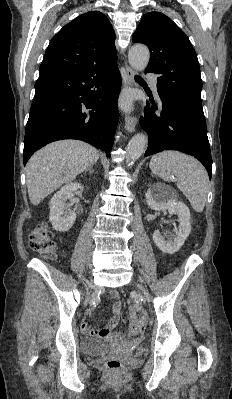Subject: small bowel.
<instances>
[{"instance_id": "small-bowel-1", "label": "small bowel", "mask_w": 232, "mask_h": 399, "mask_svg": "<svg viewBox=\"0 0 232 399\" xmlns=\"http://www.w3.org/2000/svg\"><path fill=\"white\" fill-rule=\"evenodd\" d=\"M116 296L117 294L115 293L109 294L110 298H116ZM120 314H121V306L117 304L113 307V316L111 321L108 322L106 325L102 327H93L86 322H78L77 327L86 332L106 334L115 328V325L118 321Z\"/></svg>"}]
</instances>
